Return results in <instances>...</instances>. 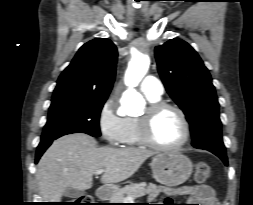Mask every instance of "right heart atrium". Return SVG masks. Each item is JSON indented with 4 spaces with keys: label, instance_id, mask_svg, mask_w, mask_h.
I'll use <instances>...</instances> for the list:
<instances>
[{
    "label": "right heart atrium",
    "instance_id": "right-heart-atrium-1",
    "mask_svg": "<svg viewBox=\"0 0 253 205\" xmlns=\"http://www.w3.org/2000/svg\"><path fill=\"white\" fill-rule=\"evenodd\" d=\"M98 127L105 141L113 146L123 142L126 118L119 114L114 98H108L98 114Z\"/></svg>",
    "mask_w": 253,
    "mask_h": 205
}]
</instances>
